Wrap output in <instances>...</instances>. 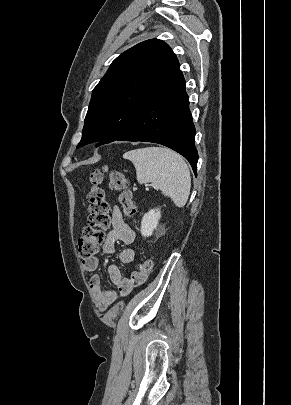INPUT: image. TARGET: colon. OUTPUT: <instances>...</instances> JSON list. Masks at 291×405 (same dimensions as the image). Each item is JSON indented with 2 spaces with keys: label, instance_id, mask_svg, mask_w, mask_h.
Returning <instances> with one entry per match:
<instances>
[{
  "label": "colon",
  "instance_id": "obj_1",
  "mask_svg": "<svg viewBox=\"0 0 291 405\" xmlns=\"http://www.w3.org/2000/svg\"><path fill=\"white\" fill-rule=\"evenodd\" d=\"M107 167L93 170L89 175L90 191L88 193L89 216L88 225L78 240V254L82 260L93 258L98 252L100 244L105 239V230L110 225V206L106 198V191L102 187ZM128 181L124 173L117 170L109 172V186L119 193L118 200L127 217L136 213L132 195L127 189ZM154 267L152 259H147L136 266V273L146 278Z\"/></svg>",
  "mask_w": 291,
  "mask_h": 405
}]
</instances>
